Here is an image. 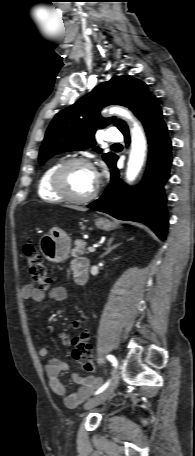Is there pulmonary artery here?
Listing matches in <instances>:
<instances>
[{
	"label": "pulmonary artery",
	"mask_w": 195,
	"mask_h": 456,
	"mask_svg": "<svg viewBox=\"0 0 195 456\" xmlns=\"http://www.w3.org/2000/svg\"><path fill=\"white\" fill-rule=\"evenodd\" d=\"M106 140L109 142H120L123 140V136L118 129L111 128L106 133Z\"/></svg>",
	"instance_id": "1"
}]
</instances>
